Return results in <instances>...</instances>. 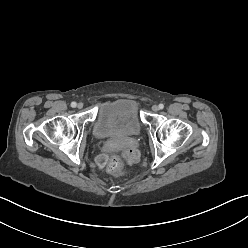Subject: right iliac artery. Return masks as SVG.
Returning <instances> with one entry per match:
<instances>
[{
	"label": "right iliac artery",
	"instance_id": "82829eb1",
	"mask_svg": "<svg viewBox=\"0 0 248 248\" xmlns=\"http://www.w3.org/2000/svg\"><path fill=\"white\" fill-rule=\"evenodd\" d=\"M76 105H77L76 102H72V103H71V107H73V108H75Z\"/></svg>",
	"mask_w": 248,
	"mask_h": 248
}]
</instances>
